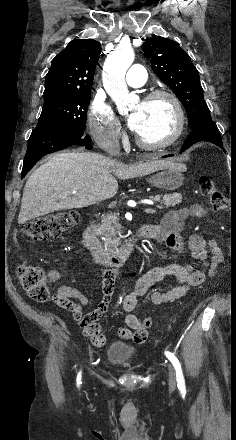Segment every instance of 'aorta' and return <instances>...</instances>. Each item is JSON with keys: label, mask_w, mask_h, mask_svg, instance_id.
<instances>
[{"label": "aorta", "mask_w": 236, "mask_h": 440, "mask_svg": "<svg viewBox=\"0 0 236 440\" xmlns=\"http://www.w3.org/2000/svg\"><path fill=\"white\" fill-rule=\"evenodd\" d=\"M134 51L129 46H119L105 60L103 85L119 111H124L136 97L128 91L125 74L134 61Z\"/></svg>", "instance_id": "762f6f07"}]
</instances>
